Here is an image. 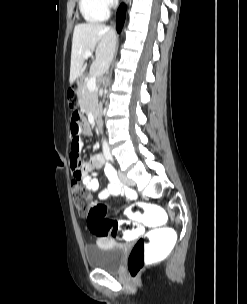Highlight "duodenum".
I'll use <instances>...</instances> for the list:
<instances>
[{
	"label": "duodenum",
	"instance_id": "410a0bca",
	"mask_svg": "<svg viewBox=\"0 0 247 304\" xmlns=\"http://www.w3.org/2000/svg\"><path fill=\"white\" fill-rule=\"evenodd\" d=\"M83 83H84V78L77 79L76 84H77L79 90H81L83 88L82 87ZM99 119H101V116L98 115V116L95 117V124L97 126V129L100 130L102 127L100 126V120Z\"/></svg>",
	"mask_w": 247,
	"mask_h": 304
}]
</instances>
